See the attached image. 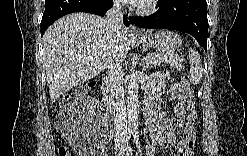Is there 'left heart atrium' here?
Wrapping results in <instances>:
<instances>
[{"mask_svg":"<svg viewBox=\"0 0 247 156\" xmlns=\"http://www.w3.org/2000/svg\"><path fill=\"white\" fill-rule=\"evenodd\" d=\"M146 1L145 0H129L128 3L131 5H141L144 4Z\"/></svg>","mask_w":247,"mask_h":156,"instance_id":"39dd6f15","label":"left heart atrium"}]
</instances>
